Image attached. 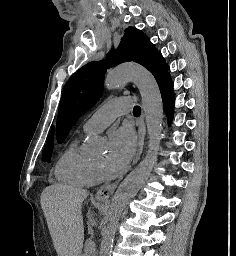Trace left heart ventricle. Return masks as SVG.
<instances>
[{"mask_svg": "<svg viewBox=\"0 0 236 256\" xmlns=\"http://www.w3.org/2000/svg\"><path fill=\"white\" fill-rule=\"evenodd\" d=\"M103 160V157L101 158L100 162Z\"/></svg>", "mask_w": 236, "mask_h": 256, "instance_id": "obj_1", "label": "left heart ventricle"}]
</instances>
